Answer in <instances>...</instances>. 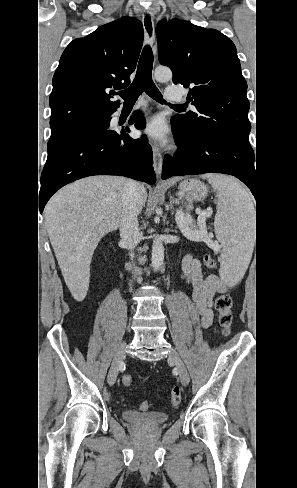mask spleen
Here are the masks:
<instances>
[{"instance_id": "3e777b00", "label": "spleen", "mask_w": 297, "mask_h": 488, "mask_svg": "<svg viewBox=\"0 0 297 488\" xmlns=\"http://www.w3.org/2000/svg\"><path fill=\"white\" fill-rule=\"evenodd\" d=\"M216 191L215 234L222 246L220 276L228 284L239 282L250 263L255 235L254 206L249 192L236 179L204 174Z\"/></svg>"}]
</instances>
